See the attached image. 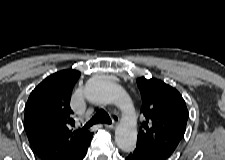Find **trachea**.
Returning a JSON list of instances; mask_svg holds the SVG:
<instances>
[{
    "instance_id": "3493384b",
    "label": "trachea",
    "mask_w": 225,
    "mask_h": 160,
    "mask_svg": "<svg viewBox=\"0 0 225 160\" xmlns=\"http://www.w3.org/2000/svg\"><path fill=\"white\" fill-rule=\"evenodd\" d=\"M98 123H107V124L111 123V119H110L108 113L103 109H100L91 118V120L87 124H85V126L83 127V130H86V129L90 128L91 126H93L94 124H98Z\"/></svg>"
}]
</instances>
